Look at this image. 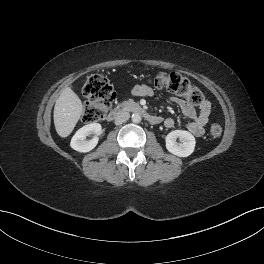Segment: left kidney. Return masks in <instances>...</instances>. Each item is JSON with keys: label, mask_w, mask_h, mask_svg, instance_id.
<instances>
[{"label": "left kidney", "mask_w": 264, "mask_h": 264, "mask_svg": "<svg viewBox=\"0 0 264 264\" xmlns=\"http://www.w3.org/2000/svg\"><path fill=\"white\" fill-rule=\"evenodd\" d=\"M177 138L181 143H177ZM194 136L185 130H174L166 136V149L179 157H187L191 155L195 149Z\"/></svg>", "instance_id": "left-kidney-1"}]
</instances>
